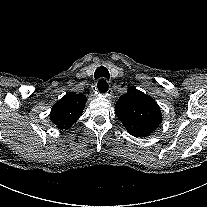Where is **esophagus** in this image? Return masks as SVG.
<instances>
[{"label": "esophagus", "instance_id": "1", "mask_svg": "<svg viewBox=\"0 0 207 207\" xmlns=\"http://www.w3.org/2000/svg\"><path fill=\"white\" fill-rule=\"evenodd\" d=\"M100 80H102V81H100ZM100 80H99L100 82L98 83V90L100 92H107L109 90V83L105 79H100ZM98 90H96L95 92L99 93ZM104 95H107V94L103 93V96Z\"/></svg>", "mask_w": 207, "mask_h": 207}]
</instances>
